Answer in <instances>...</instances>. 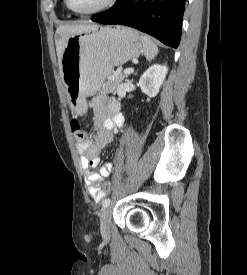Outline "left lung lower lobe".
I'll use <instances>...</instances> for the list:
<instances>
[{
	"label": "left lung lower lobe",
	"mask_w": 247,
	"mask_h": 275,
	"mask_svg": "<svg viewBox=\"0 0 247 275\" xmlns=\"http://www.w3.org/2000/svg\"><path fill=\"white\" fill-rule=\"evenodd\" d=\"M184 5L185 0H117L92 21L130 26L176 48L181 38Z\"/></svg>",
	"instance_id": "0a47b994"
}]
</instances>
